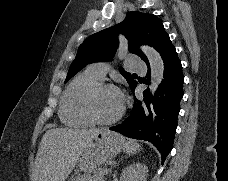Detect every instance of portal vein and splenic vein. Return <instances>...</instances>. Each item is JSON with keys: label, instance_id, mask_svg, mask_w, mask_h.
Listing matches in <instances>:
<instances>
[{"label": "portal vein and splenic vein", "instance_id": "18ae733b", "mask_svg": "<svg viewBox=\"0 0 228 181\" xmlns=\"http://www.w3.org/2000/svg\"><path fill=\"white\" fill-rule=\"evenodd\" d=\"M110 169H111L110 167L109 168L105 167L102 172L105 173V174H108Z\"/></svg>", "mask_w": 228, "mask_h": 181}]
</instances>
